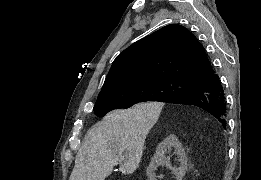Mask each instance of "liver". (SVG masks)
I'll list each match as a JSON object with an SVG mask.
<instances>
[{"label":"liver","instance_id":"obj_1","mask_svg":"<svg viewBox=\"0 0 261 180\" xmlns=\"http://www.w3.org/2000/svg\"><path fill=\"white\" fill-rule=\"evenodd\" d=\"M157 102L109 112L90 128L76 158L70 180H105L115 166L133 174L142 158L146 136L156 124Z\"/></svg>","mask_w":261,"mask_h":180}]
</instances>
